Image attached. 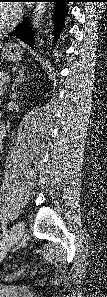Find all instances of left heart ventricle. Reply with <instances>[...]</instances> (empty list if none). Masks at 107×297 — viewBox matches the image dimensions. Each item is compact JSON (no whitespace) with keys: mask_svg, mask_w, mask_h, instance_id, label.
<instances>
[{"mask_svg":"<svg viewBox=\"0 0 107 297\" xmlns=\"http://www.w3.org/2000/svg\"><path fill=\"white\" fill-rule=\"evenodd\" d=\"M1 19L0 27L8 24L14 17L15 11L10 5L1 4Z\"/></svg>","mask_w":107,"mask_h":297,"instance_id":"left-heart-ventricle-1","label":"left heart ventricle"}]
</instances>
